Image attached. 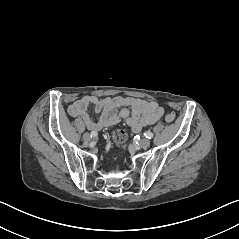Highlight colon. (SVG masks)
I'll list each match as a JSON object with an SVG mask.
<instances>
[{
  "label": "colon",
  "mask_w": 239,
  "mask_h": 239,
  "mask_svg": "<svg viewBox=\"0 0 239 239\" xmlns=\"http://www.w3.org/2000/svg\"><path fill=\"white\" fill-rule=\"evenodd\" d=\"M175 120V114L174 113H168L165 116V121L167 123H171ZM127 135L126 132L123 130H116L113 134V139L118 144H124L126 141Z\"/></svg>",
  "instance_id": "obj_1"
}]
</instances>
